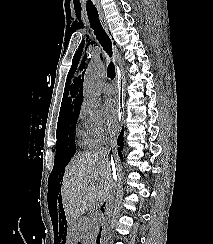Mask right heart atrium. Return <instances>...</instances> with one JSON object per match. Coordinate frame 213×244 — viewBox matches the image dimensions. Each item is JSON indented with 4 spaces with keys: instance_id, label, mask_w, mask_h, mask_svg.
<instances>
[{
    "instance_id": "obj_1",
    "label": "right heart atrium",
    "mask_w": 213,
    "mask_h": 244,
    "mask_svg": "<svg viewBox=\"0 0 213 244\" xmlns=\"http://www.w3.org/2000/svg\"><path fill=\"white\" fill-rule=\"evenodd\" d=\"M80 119L84 125V143L90 146L103 143L106 136L110 133V129L105 124L101 110L84 104L80 110Z\"/></svg>"
}]
</instances>
